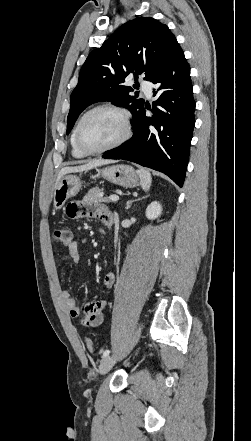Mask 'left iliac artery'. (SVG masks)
<instances>
[{
    "label": "left iliac artery",
    "mask_w": 251,
    "mask_h": 441,
    "mask_svg": "<svg viewBox=\"0 0 251 441\" xmlns=\"http://www.w3.org/2000/svg\"><path fill=\"white\" fill-rule=\"evenodd\" d=\"M110 354V350H105L104 352H103V358L104 357H107L108 355Z\"/></svg>",
    "instance_id": "left-iliac-artery-1"
}]
</instances>
